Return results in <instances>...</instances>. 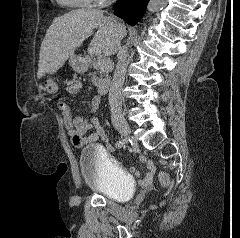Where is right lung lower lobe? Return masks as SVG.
<instances>
[{
  "mask_svg": "<svg viewBox=\"0 0 240 238\" xmlns=\"http://www.w3.org/2000/svg\"><path fill=\"white\" fill-rule=\"evenodd\" d=\"M149 0H117L114 14L135 25L144 15Z\"/></svg>",
  "mask_w": 240,
  "mask_h": 238,
  "instance_id": "right-lung-lower-lobe-1",
  "label": "right lung lower lobe"
}]
</instances>
